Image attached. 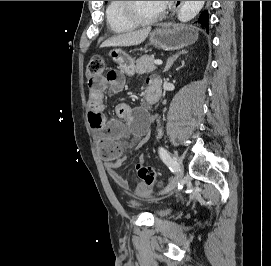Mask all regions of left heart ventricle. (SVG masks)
Returning <instances> with one entry per match:
<instances>
[{"label":"left heart ventricle","mask_w":271,"mask_h":266,"mask_svg":"<svg viewBox=\"0 0 271 266\" xmlns=\"http://www.w3.org/2000/svg\"><path fill=\"white\" fill-rule=\"evenodd\" d=\"M135 12L142 18H149L156 15L162 6L158 1H133Z\"/></svg>","instance_id":"1"}]
</instances>
